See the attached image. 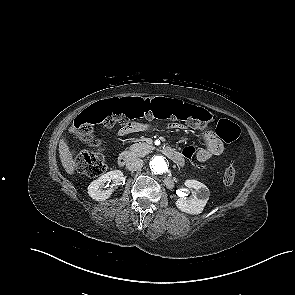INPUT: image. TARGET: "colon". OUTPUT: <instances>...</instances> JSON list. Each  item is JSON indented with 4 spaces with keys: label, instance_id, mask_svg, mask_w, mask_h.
Segmentation results:
<instances>
[{
    "label": "colon",
    "instance_id": "obj_1",
    "mask_svg": "<svg viewBox=\"0 0 295 295\" xmlns=\"http://www.w3.org/2000/svg\"><path fill=\"white\" fill-rule=\"evenodd\" d=\"M141 117L167 119L172 122L183 121L189 126L200 129L208 127L213 121L212 114L205 109L178 100L136 98L95 104L81 112L73 124V132L76 136L97 149L96 151L80 150L75 152L74 160L77 169L88 177H97L106 170V162L100 151V144L93 137L94 125L103 124L107 127L116 124L126 125ZM216 133L226 142H232L238 139L241 131L232 121L221 119L216 125ZM180 153L185 161L197 170H206L210 166L207 162L199 163L194 159L197 152L193 146H184ZM235 176L234 166H228L223 175L224 184L230 186L234 182Z\"/></svg>",
    "mask_w": 295,
    "mask_h": 295
}]
</instances>
